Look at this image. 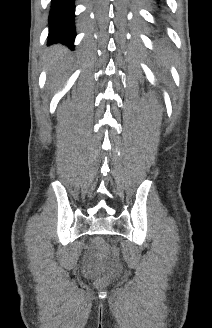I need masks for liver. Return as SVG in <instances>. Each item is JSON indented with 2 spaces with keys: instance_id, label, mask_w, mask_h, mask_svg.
Segmentation results:
<instances>
[{
  "instance_id": "1",
  "label": "liver",
  "mask_w": 212,
  "mask_h": 328,
  "mask_svg": "<svg viewBox=\"0 0 212 328\" xmlns=\"http://www.w3.org/2000/svg\"><path fill=\"white\" fill-rule=\"evenodd\" d=\"M56 56L53 58L50 64L51 71L58 74L64 65L65 50L62 47H55Z\"/></svg>"
}]
</instances>
